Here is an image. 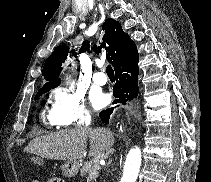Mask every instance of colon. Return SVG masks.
<instances>
[{
	"instance_id": "1",
	"label": "colon",
	"mask_w": 211,
	"mask_h": 182,
	"mask_svg": "<svg viewBox=\"0 0 211 182\" xmlns=\"http://www.w3.org/2000/svg\"><path fill=\"white\" fill-rule=\"evenodd\" d=\"M45 182H64V180L58 176L47 177Z\"/></svg>"
}]
</instances>
